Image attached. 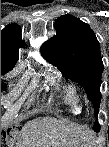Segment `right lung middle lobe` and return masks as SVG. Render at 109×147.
I'll return each mask as SVG.
<instances>
[{
    "mask_svg": "<svg viewBox=\"0 0 109 147\" xmlns=\"http://www.w3.org/2000/svg\"><path fill=\"white\" fill-rule=\"evenodd\" d=\"M10 70H12V68H1V74H5L7 72H9ZM4 89V86H1Z\"/></svg>",
    "mask_w": 109,
    "mask_h": 147,
    "instance_id": "obj_1",
    "label": "right lung middle lobe"
}]
</instances>
